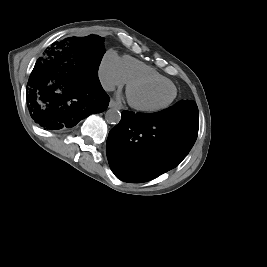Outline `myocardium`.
Here are the masks:
<instances>
[{
	"instance_id": "myocardium-1",
	"label": "myocardium",
	"mask_w": 267,
	"mask_h": 267,
	"mask_svg": "<svg viewBox=\"0 0 267 267\" xmlns=\"http://www.w3.org/2000/svg\"><path fill=\"white\" fill-rule=\"evenodd\" d=\"M146 84H168V85H171L174 89V95L167 103L160 105V106H144V105H141L139 103H136L135 101H133L130 98L131 89L135 86L146 85ZM126 91H127L128 101H129V104L131 105V107H133L134 109L141 111V112L162 111V110L168 108L175 101V99L178 95V90H177V87L174 85V83H172L171 81L165 82V81H161V80H157V79H153V78H137V79L130 80L127 83Z\"/></svg>"
}]
</instances>
